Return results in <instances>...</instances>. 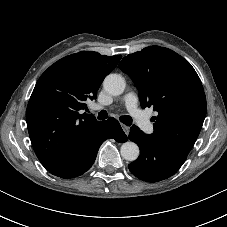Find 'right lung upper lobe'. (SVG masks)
I'll use <instances>...</instances> for the list:
<instances>
[{"label": "right lung upper lobe", "instance_id": "obj_1", "mask_svg": "<svg viewBox=\"0 0 227 227\" xmlns=\"http://www.w3.org/2000/svg\"><path fill=\"white\" fill-rule=\"evenodd\" d=\"M121 55L83 51L51 65L39 78L30 97L26 120L34 151L48 170L60 163L99 125L85 101L95 99L104 78Z\"/></svg>", "mask_w": 227, "mask_h": 227}]
</instances>
